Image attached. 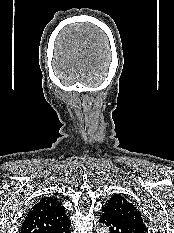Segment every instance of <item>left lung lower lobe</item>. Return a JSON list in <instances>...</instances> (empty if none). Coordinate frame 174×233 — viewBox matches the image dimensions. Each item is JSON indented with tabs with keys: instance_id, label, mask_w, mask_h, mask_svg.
I'll return each mask as SVG.
<instances>
[{
	"instance_id": "left-lung-lower-lobe-1",
	"label": "left lung lower lobe",
	"mask_w": 174,
	"mask_h": 233,
	"mask_svg": "<svg viewBox=\"0 0 174 233\" xmlns=\"http://www.w3.org/2000/svg\"><path fill=\"white\" fill-rule=\"evenodd\" d=\"M100 223L108 228L109 233H148L146 227L126 220L114 218L104 211L100 217Z\"/></svg>"
}]
</instances>
